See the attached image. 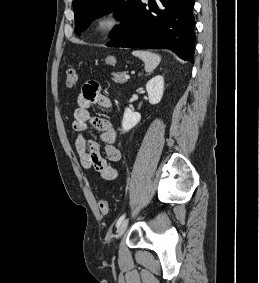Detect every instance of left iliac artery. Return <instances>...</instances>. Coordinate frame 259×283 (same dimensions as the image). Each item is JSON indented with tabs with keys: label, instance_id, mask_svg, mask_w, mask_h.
Instances as JSON below:
<instances>
[{
	"label": "left iliac artery",
	"instance_id": "44dca946",
	"mask_svg": "<svg viewBox=\"0 0 259 283\" xmlns=\"http://www.w3.org/2000/svg\"><path fill=\"white\" fill-rule=\"evenodd\" d=\"M126 214H123L117 221L116 226L119 227L120 224L123 222L124 218H125Z\"/></svg>",
	"mask_w": 259,
	"mask_h": 283
}]
</instances>
